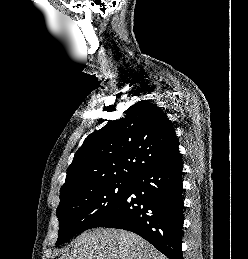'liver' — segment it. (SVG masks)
<instances>
[{
	"label": "liver",
	"instance_id": "1",
	"mask_svg": "<svg viewBox=\"0 0 248 259\" xmlns=\"http://www.w3.org/2000/svg\"><path fill=\"white\" fill-rule=\"evenodd\" d=\"M59 259H167L143 238L129 231L102 229L78 236Z\"/></svg>",
	"mask_w": 248,
	"mask_h": 259
}]
</instances>
